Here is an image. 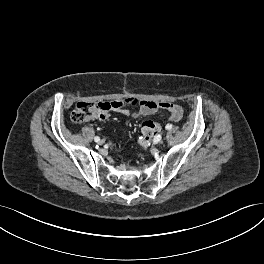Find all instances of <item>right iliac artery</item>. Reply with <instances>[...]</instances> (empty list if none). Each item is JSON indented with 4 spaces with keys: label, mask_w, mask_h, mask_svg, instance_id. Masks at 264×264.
<instances>
[{
    "label": "right iliac artery",
    "mask_w": 264,
    "mask_h": 264,
    "mask_svg": "<svg viewBox=\"0 0 264 264\" xmlns=\"http://www.w3.org/2000/svg\"><path fill=\"white\" fill-rule=\"evenodd\" d=\"M94 140H95V142H99V141H100V138H99L98 136H96V137L94 138Z\"/></svg>",
    "instance_id": "82829eb1"
}]
</instances>
